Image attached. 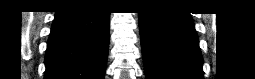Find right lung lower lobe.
I'll list each match as a JSON object with an SVG mask.
<instances>
[{"instance_id": "1", "label": "right lung lower lobe", "mask_w": 255, "mask_h": 79, "mask_svg": "<svg viewBox=\"0 0 255 79\" xmlns=\"http://www.w3.org/2000/svg\"><path fill=\"white\" fill-rule=\"evenodd\" d=\"M110 13L88 6L56 12L47 43L45 79H103Z\"/></svg>"}]
</instances>
